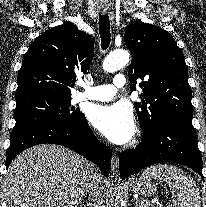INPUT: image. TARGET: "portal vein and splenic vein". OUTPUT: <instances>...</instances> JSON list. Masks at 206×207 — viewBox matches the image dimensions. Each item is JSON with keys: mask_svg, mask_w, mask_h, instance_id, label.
<instances>
[{"mask_svg": "<svg viewBox=\"0 0 206 207\" xmlns=\"http://www.w3.org/2000/svg\"><path fill=\"white\" fill-rule=\"evenodd\" d=\"M138 203H139L140 205H142V206L144 205V202H143V201H141V202L139 201ZM153 203H154V202H153Z\"/></svg>", "mask_w": 206, "mask_h": 207, "instance_id": "portal-vein-and-splenic-vein-1", "label": "portal vein and splenic vein"}]
</instances>
